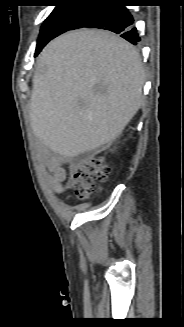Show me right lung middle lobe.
<instances>
[{
    "instance_id": "dd1d6c3e",
    "label": "right lung middle lobe",
    "mask_w": 184,
    "mask_h": 327,
    "mask_svg": "<svg viewBox=\"0 0 184 327\" xmlns=\"http://www.w3.org/2000/svg\"><path fill=\"white\" fill-rule=\"evenodd\" d=\"M89 7L90 6L81 5L56 6L41 27L35 56L51 39L68 30H71V28L82 18Z\"/></svg>"
}]
</instances>
